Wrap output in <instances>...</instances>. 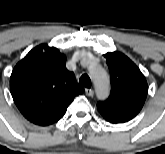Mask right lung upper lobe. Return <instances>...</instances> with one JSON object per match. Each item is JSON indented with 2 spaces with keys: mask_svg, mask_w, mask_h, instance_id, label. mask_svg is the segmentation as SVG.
I'll use <instances>...</instances> for the list:
<instances>
[{
  "mask_svg": "<svg viewBox=\"0 0 165 154\" xmlns=\"http://www.w3.org/2000/svg\"><path fill=\"white\" fill-rule=\"evenodd\" d=\"M65 63V55L57 48L43 44L32 49L14 67L10 91L25 118L31 120L52 111L84 92Z\"/></svg>",
  "mask_w": 165,
  "mask_h": 154,
  "instance_id": "1",
  "label": "right lung upper lobe"
}]
</instances>
